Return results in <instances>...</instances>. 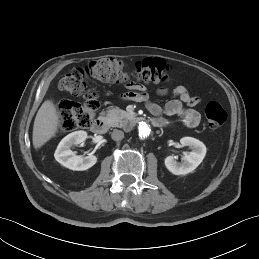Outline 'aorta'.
<instances>
[{
	"mask_svg": "<svg viewBox=\"0 0 259 259\" xmlns=\"http://www.w3.org/2000/svg\"><path fill=\"white\" fill-rule=\"evenodd\" d=\"M136 132L141 139H146L151 134V128L146 122H139L136 126Z\"/></svg>",
	"mask_w": 259,
	"mask_h": 259,
	"instance_id": "762f6f07",
	"label": "aorta"
}]
</instances>
